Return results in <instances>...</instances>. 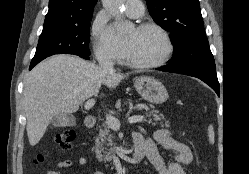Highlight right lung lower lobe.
<instances>
[{"mask_svg": "<svg viewBox=\"0 0 249 174\" xmlns=\"http://www.w3.org/2000/svg\"><path fill=\"white\" fill-rule=\"evenodd\" d=\"M78 56H80V57H82V58H84V59H89V57H88V55H78ZM40 61H35V62H31V64H30V68H29V70H31L36 64H38Z\"/></svg>", "mask_w": 249, "mask_h": 174, "instance_id": "right-lung-lower-lobe-1", "label": "right lung lower lobe"}]
</instances>
